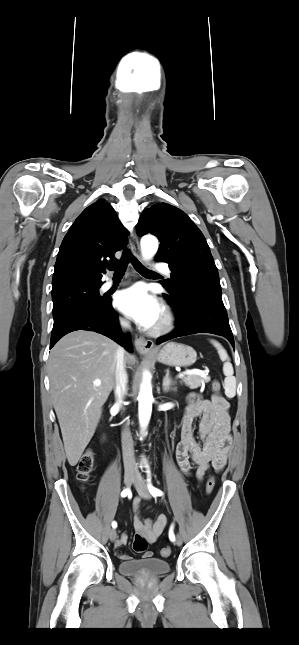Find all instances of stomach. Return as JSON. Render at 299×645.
Wrapping results in <instances>:
<instances>
[{"instance_id":"obj_1","label":"stomach","mask_w":299,"mask_h":645,"mask_svg":"<svg viewBox=\"0 0 299 645\" xmlns=\"http://www.w3.org/2000/svg\"><path fill=\"white\" fill-rule=\"evenodd\" d=\"M157 360L168 366H191L196 362V351L185 344L167 343L157 354Z\"/></svg>"}]
</instances>
